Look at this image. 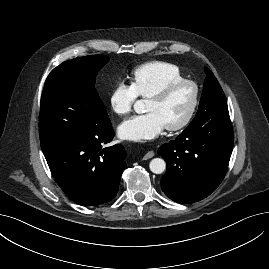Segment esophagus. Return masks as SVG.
<instances>
[{
    "label": "esophagus",
    "mask_w": 269,
    "mask_h": 269,
    "mask_svg": "<svg viewBox=\"0 0 269 269\" xmlns=\"http://www.w3.org/2000/svg\"><path fill=\"white\" fill-rule=\"evenodd\" d=\"M153 156H154V152H153V151H149V152H147V153L144 155L143 159H144V160H147V159L152 158Z\"/></svg>",
    "instance_id": "1"
}]
</instances>
